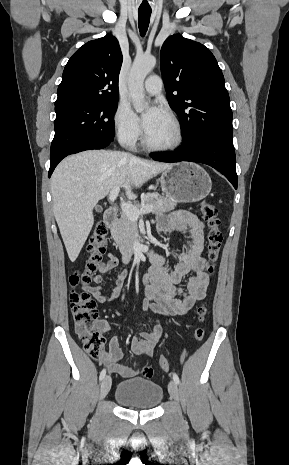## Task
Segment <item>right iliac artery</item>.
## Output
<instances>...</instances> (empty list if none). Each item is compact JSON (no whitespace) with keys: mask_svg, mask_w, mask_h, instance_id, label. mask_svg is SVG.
I'll return each mask as SVG.
<instances>
[{"mask_svg":"<svg viewBox=\"0 0 289 465\" xmlns=\"http://www.w3.org/2000/svg\"><path fill=\"white\" fill-rule=\"evenodd\" d=\"M105 375H106V369H103V370L101 371V373H100L99 380H100V381L103 380L104 377H105Z\"/></svg>","mask_w":289,"mask_h":465,"instance_id":"1","label":"right iliac artery"}]
</instances>
